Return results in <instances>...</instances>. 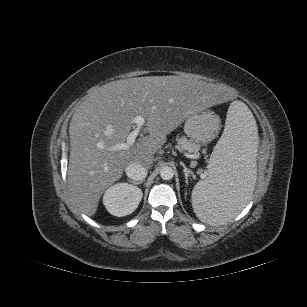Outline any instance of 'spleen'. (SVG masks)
<instances>
[{
	"instance_id": "obj_1",
	"label": "spleen",
	"mask_w": 307,
	"mask_h": 307,
	"mask_svg": "<svg viewBox=\"0 0 307 307\" xmlns=\"http://www.w3.org/2000/svg\"><path fill=\"white\" fill-rule=\"evenodd\" d=\"M257 126L248 107L231 103L225 128L208 162V177L193 188L191 203L200 221L223 225L250 200L256 182Z\"/></svg>"
}]
</instances>
